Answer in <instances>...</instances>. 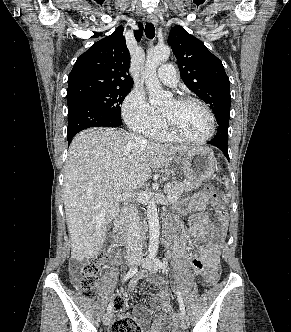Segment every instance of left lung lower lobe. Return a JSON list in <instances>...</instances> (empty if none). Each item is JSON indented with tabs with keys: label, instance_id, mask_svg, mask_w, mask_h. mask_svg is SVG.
<instances>
[{
	"label": "left lung lower lobe",
	"instance_id": "1",
	"mask_svg": "<svg viewBox=\"0 0 291 332\" xmlns=\"http://www.w3.org/2000/svg\"><path fill=\"white\" fill-rule=\"evenodd\" d=\"M229 118L230 117L227 116H220L219 118L216 119L219 125L217 134L210 142H208V144L214 145L217 148H219L225 154L228 160H229V155H228L227 142H228Z\"/></svg>",
	"mask_w": 291,
	"mask_h": 332
}]
</instances>
